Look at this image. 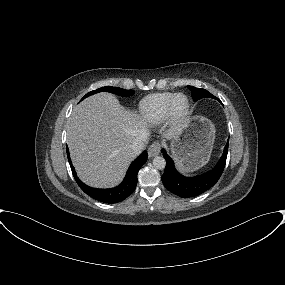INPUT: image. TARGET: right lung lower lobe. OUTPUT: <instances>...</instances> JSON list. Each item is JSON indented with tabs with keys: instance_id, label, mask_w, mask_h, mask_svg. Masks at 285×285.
<instances>
[{
	"instance_id": "obj_1",
	"label": "right lung lower lobe",
	"mask_w": 285,
	"mask_h": 285,
	"mask_svg": "<svg viewBox=\"0 0 285 285\" xmlns=\"http://www.w3.org/2000/svg\"><path fill=\"white\" fill-rule=\"evenodd\" d=\"M68 160L72 169L73 176L79 187L90 197L103 203H118L126 199L136 188L137 174L139 169L145 164L147 160V152L144 151L137 157L130 165L123 182L115 188L98 189L85 185L77 177L74 167L72 166L68 147H66Z\"/></svg>"
}]
</instances>
